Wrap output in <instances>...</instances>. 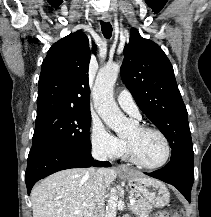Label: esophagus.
<instances>
[{"instance_id": "esophagus-1", "label": "esophagus", "mask_w": 211, "mask_h": 217, "mask_svg": "<svg viewBox=\"0 0 211 217\" xmlns=\"http://www.w3.org/2000/svg\"><path fill=\"white\" fill-rule=\"evenodd\" d=\"M101 18H102V20L104 22H110L111 21V17L108 14L102 15ZM118 170H120V171H128L129 169H128V167L126 165H119Z\"/></svg>"}]
</instances>
